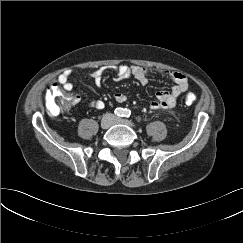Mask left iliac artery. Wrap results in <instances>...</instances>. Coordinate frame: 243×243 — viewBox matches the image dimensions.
<instances>
[{"mask_svg": "<svg viewBox=\"0 0 243 243\" xmlns=\"http://www.w3.org/2000/svg\"><path fill=\"white\" fill-rule=\"evenodd\" d=\"M131 115V111L129 109H125L124 116L129 117Z\"/></svg>", "mask_w": 243, "mask_h": 243, "instance_id": "44dca946", "label": "left iliac artery"}]
</instances>
